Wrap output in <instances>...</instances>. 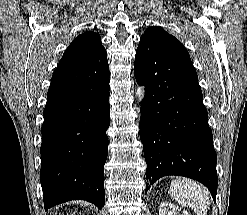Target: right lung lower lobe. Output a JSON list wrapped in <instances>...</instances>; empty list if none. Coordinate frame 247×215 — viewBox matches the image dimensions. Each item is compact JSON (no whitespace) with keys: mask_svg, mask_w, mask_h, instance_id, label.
<instances>
[{"mask_svg":"<svg viewBox=\"0 0 247 215\" xmlns=\"http://www.w3.org/2000/svg\"><path fill=\"white\" fill-rule=\"evenodd\" d=\"M109 89L106 51L88 60H61L53 73L41 129L45 210L75 199L105 205Z\"/></svg>","mask_w":247,"mask_h":215,"instance_id":"1","label":"right lung lower lobe"}]
</instances>
